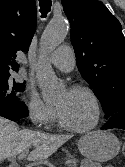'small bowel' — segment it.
<instances>
[{"instance_id":"small-bowel-1","label":"small bowel","mask_w":125,"mask_h":167,"mask_svg":"<svg viewBox=\"0 0 125 167\" xmlns=\"http://www.w3.org/2000/svg\"><path fill=\"white\" fill-rule=\"evenodd\" d=\"M86 163H89V162H86ZM83 167H99V166H89V165H85V166H83ZM107 167H112V166H107Z\"/></svg>"}]
</instances>
